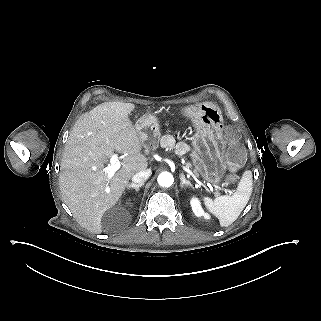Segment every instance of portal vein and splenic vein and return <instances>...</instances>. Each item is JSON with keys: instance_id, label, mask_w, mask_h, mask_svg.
<instances>
[{"instance_id": "18ae733b", "label": "portal vein and splenic vein", "mask_w": 321, "mask_h": 321, "mask_svg": "<svg viewBox=\"0 0 321 321\" xmlns=\"http://www.w3.org/2000/svg\"><path fill=\"white\" fill-rule=\"evenodd\" d=\"M119 159V154L115 153L111 156L110 159V163L111 165H108L107 167H103L101 168L99 171L100 172H104L106 173L109 177H112L115 172L120 168V162L118 161ZM184 170L188 172V174L194 178V180H196V183L199 184V186H201L202 188L206 189L208 192H213V189L205 186L204 184H202L199 179H197V176L194 175V173H192L193 171H191L190 169H188L187 167H184Z\"/></svg>"}]
</instances>
